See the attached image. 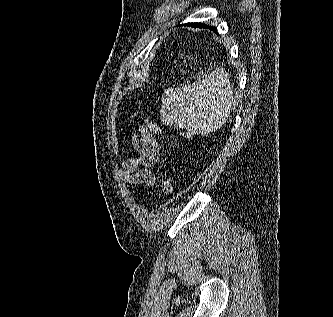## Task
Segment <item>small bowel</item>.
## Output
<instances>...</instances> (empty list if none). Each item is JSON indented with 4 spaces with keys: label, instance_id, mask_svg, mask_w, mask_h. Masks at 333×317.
I'll list each match as a JSON object with an SVG mask.
<instances>
[{
    "label": "small bowel",
    "instance_id": "obj_1",
    "mask_svg": "<svg viewBox=\"0 0 333 317\" xmlns=\"http://www.w3.org/2000/svg\"><path fill=\"white\" fill-rule=\"evenodd\" d=\"M154 134H162L161 128L153 121L144 119L139 125L138 133L132 135L131 142L138 156L123 161L120 172L125 181L148 187L154 185L152 168L160 158V147Z\"/></svg>",
    "mask_w": 333,
    "mask_h": 317
}]
</instances>
